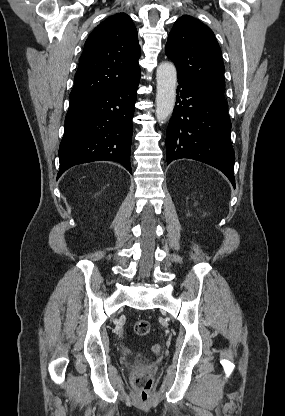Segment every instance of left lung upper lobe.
Returning a JSON list of instances; mask_svg holds the SVG:
<instances>
[{
  "instance_id": "5c2ea615",
  "label": "left lung upper lobe",
  "mask_w": 285,
  "mask_h": 416,
  "mask_svg": "<svg viewBox=\"0 0 285 416\" xmlns=\"http://www.w3.org/2000/svg\"><path fill=\"white\" fill-rule=\"evenodd\" d=\"M165 52L176 65L178 79L224 97L221 49L209 27L192 16H181L169 33Z\"/></svg>"
}]
</instances>
